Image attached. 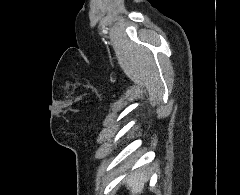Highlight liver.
<instances>
[{
    "label": "liver",
    "instance_id": "1",
    "mask_svg": "<svg viewBox=\"0 0 240 195\" xmlns=\"http://www.w3.org/2000/svg\"><path fill=\"white\" fill-rule=\"evenodd\" d=\"M145 171H141V173H130L126 177V187L130 189L132 195H137V193H143L144 185L143 181H147L146 175H144Z\"/></svg>",
    "mask_w": 240,
    "mask_h": 195
}]
</instances>
